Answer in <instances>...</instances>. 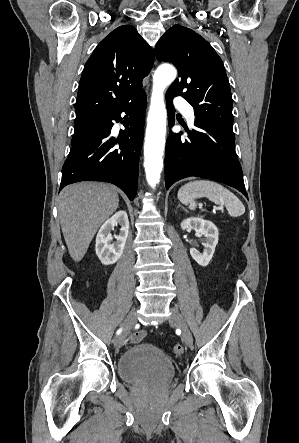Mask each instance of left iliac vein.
<instances>
[{
  "label": "left iliac vein",
  "instance_id": "4c4485c4",
  "mask_svg": "<svg viewBox=\"0 0 299 443\" xmlns=\"http://www.w3.org/2000/svg\"><path fill=\"white\" fill-rule=\"evenodd\" d=\"M169 322L174 324L176 327L181 329L182 331V340L187 346H192L193 339L192 335L187 327V324L181 315V313L176 308H171V316L169 318Z\"/></svg>",
  "mask_w": 299,
  "mask_h": 443
}]
</instances>
